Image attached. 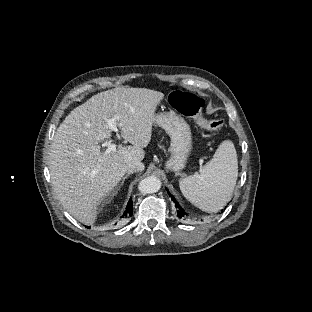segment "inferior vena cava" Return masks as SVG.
Masks as SVG:
<instances>
[{
    "instance_id": "obj_1",
    "label": "inferior vena cava",
    "mask_w": 312,
    "mask_h": 312,
    "mask_svg": "<svg viewBox=\"0 0 312 312\" xmlns=\"http://www.w3.org/2000/svg\"><path fill=\"white\" fill-rule=\"evenodd\" d=\"M144 169V165L140 161H133L128 164L127 166V172L133 173V172H141Z\"/></svg>"
}]
</instances>
